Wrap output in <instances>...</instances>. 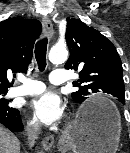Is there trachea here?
Wrapping results in <instances>:
<instances>
[{"mask_svg":"<svg viewBox=\"0 0 130 153\" xmlns=\"http://www.w3.org/2000/svg\"><path fill=\"white\" fill-rule=\"evenodd\" d=\"M47 38L41 39L35 46V58L40 71L46 67Z\"/></svg>","mask_w":130,"mask_h":153,"instance_id":"obj_1","label":"trachea"}]
</instances>
